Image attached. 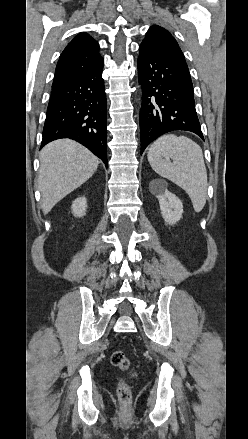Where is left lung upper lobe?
<instances>
[{
    "mask_svg": "<svg viewBox=\"0 0 248 439\" xmlns=\"http://www.w3.org/2000/svg\"><path fill=\"white\" fill-rule=\"evenodd\" d=\"M142 43L185 60L177 41L166 29L160 26H151Z\"/></svg>",
    "mask_w": 248,
    "mask_h": 439,
    "instance_id": "1",
    "label": "left lung upper lobe"
}]
</instances>
